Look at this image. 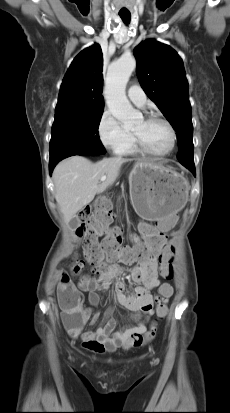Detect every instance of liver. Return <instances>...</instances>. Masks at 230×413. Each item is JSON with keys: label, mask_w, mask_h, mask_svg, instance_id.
Returning a JSON list of instances; mask_svg holds the SVG:
<instances>
[{"label": "liver", "mask_w": 230, "mask_h": 413, "mask_svg": "<svg viewBox=\"0 0 230 413\" xmlns=\"http://www.w3.org/2000/svg\"><path fill=\"white\" fill-rule=\"evenodd\" d=\"M126 162L127 159L113 157L92 163L82 156H72L61 161L53 171V180L55 199L65 223H69L96 194L112 185ZM102 176H106L105 181H100Z\"/></svg>", "instance_id": "liver-1"}]
</instances>
